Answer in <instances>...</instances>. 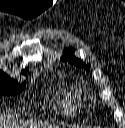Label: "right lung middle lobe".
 I'll use <instances>...</instances> for the list:
<instances>
[{"label": "right lung middle lobe", "mask_w": 125, "mask_h": 128, "mask_svg": "<svg viewBox=\"0 0 125 128\" xmlns=\"http://www.w3.org/2000/svg\"><path fill=\"white\" fill-rule=\"evenodd\" d=\"M24 83L21 85L0 71V94L14 95L22 90Z\"/></svg>", "instance_id": "right-lung-middle-lobe-1"}]
</instances>
